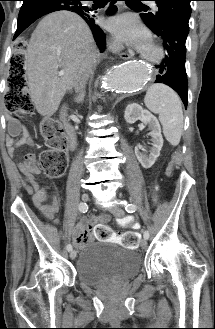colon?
Wrapping results in <instances>:
<instances>
[{"mask_svg":"<svg viewBox=\"0 0 215 329\" xmlns=\"http://www.w3.org/2000/svg\"><path fill=\"white\" fill-rule=\"evenodd\" d=\"M16 52L12 56V68L9 75V86L6 93V105L8 109L22 119L33 111V103L29 96L26 77L23 69L25 56L21 50L24 44H34V37H15ZM40 133L45 139L47 149L39 156V164L48 178L56 179L63 176L67 168L68 159L66 154L67 139L62 132L59 123L53 119H46L40 126ZM126 221L122 225H127ZM130 231H139V224H130ZM114 235V234H113ZM139 235L134 232H125L121 243L129 249H136Z\"/></svg>","mask_w":215,"mask_h":329,"instance_id":"obj_1","label":"colon"}]
</instances>
